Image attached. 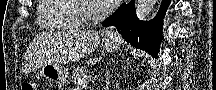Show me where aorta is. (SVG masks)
Listing matches in <instances>:
<instances>
[{"label": "aorta", "mask_w": 216, "mask_h": 90, "mask_svg": "<svg viewBox=\"0 0 216 90\" xmlns=\"http://www.w3.org/2000/svg\"><path fill=\"white\" fill-rule=\"evenodd\" d=\"M155 4L156 0H138L135 6L136 18H138V20H146L149 14H151Z\"/></svg>", "instance_id": "obj_1"}]
</instances>
